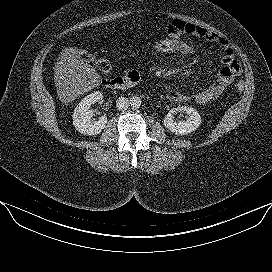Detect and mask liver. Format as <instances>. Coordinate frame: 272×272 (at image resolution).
<instances>
[{
	"label": "liver",
	"mask_w": 272,
	"mask_h": 272,
	"mask_svg": "<svg viewBox=\"0 0 272 272\" xmlns=\"http://www.w3.org/2000/svg\"><path fill=\"white\" fill-rule=\"evenodd\" d=\"M54 82L60 101L68 104L100 85L94 68L76 55H61L54 67Z\"/></svg>",
	"instance_id": "1"
}]
</instances>
